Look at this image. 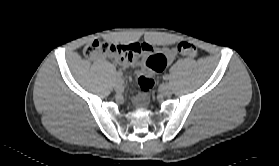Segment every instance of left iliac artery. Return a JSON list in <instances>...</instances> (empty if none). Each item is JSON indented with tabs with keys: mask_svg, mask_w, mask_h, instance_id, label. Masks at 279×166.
<instances>
[{
	"mask_svg": "<svg viewBox=\"0 0 279 166\" xmlns=\"http://www.w3.org/2000/svg\"><path fill=\"white\" fill-rule=\"evenodd\" d=\"M163 79H164V80H168V79H169V75L165 74V75L163 76Z\"/></svg>",
	"mask_w": 279,
	"mask_h": 166,
	"instance_id": "1",
	"label": "left iliac artery"
}]
</instances>
